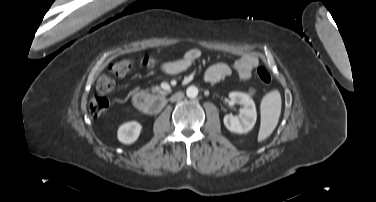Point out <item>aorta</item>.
Masks as SVG:
<instances>
[{
  "instance_id": "obj_1",
  "label": "aorta",
  "mask_w": 376,
  "mask_h": 202,
  "mask_svg": "<svg viewBox=\"0 0 376 202\" xmlns=\"http://www.w3.org/2000/svg\"><path fill=\"white\" fill-rule=\"evenodd\" d=\"M186 95L189 98H195L198 95V89L195 86H189L186 90Z\"/></svg>"
}]
</instances>
